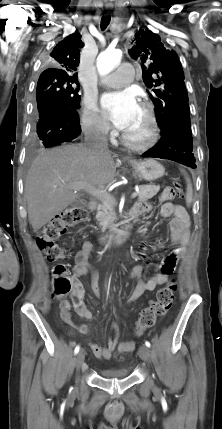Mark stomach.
Returning <instances> with one entry per match:
<instances>
[{"mask_svg":"<svg viewBox=\"0 0 222 429\" xmlns=\"http://www.w3.org/2000/svg\"><path fill=\"white\" fill-rule=\"evenodd\" d=\"M130 165L134 168L138 177L145 181H154L161 178L164 173V167L153 159L143 161H129Z\"/></svg>","mask_w":222,"mask_h":429,"instance_id":"0dacf381","label":"stomach"}]
</instances>
